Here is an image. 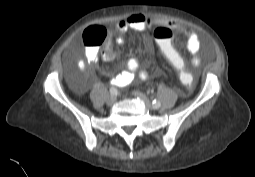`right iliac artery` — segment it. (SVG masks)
<instances>
[{
  "label": "right iliac artery",
  "mask_w": 255,
  "mask_h": 177,
  "mask_svg": "<svg viewBox=\"0 0 255 177\" xmlns=\"http://www.w3.org/2000/svg\"><path fill=\"white\" fill-rule=\"evenodd\" d=\"M110 94L116 96L118 94V90L115 87H111L110 88Z\"/></svg>",
  "instance_id": "obj_1"
}]
</instances>
